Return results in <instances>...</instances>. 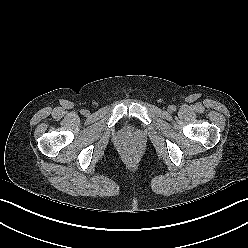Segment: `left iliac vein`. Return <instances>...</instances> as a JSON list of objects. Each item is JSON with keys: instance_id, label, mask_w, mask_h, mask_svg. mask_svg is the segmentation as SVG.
<instances>
[{"instance_id": "4c4485c4", "label": "left iliac vein", "mask_w": 248, "mask_h": 248, "mask_svg": "<svg viewBox=\"0 0 248 248\" xmlns=\"http://www.w3.org/2000/svg\"><path fill=\"white\" fill-rule=\"evenodd\" d=\"M168 111L172 112V107L171 106L168 107Z\"/></svg>"}]
</instances>
